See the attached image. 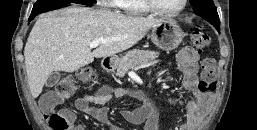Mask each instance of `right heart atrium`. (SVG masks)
Returning a JSON list of instances; mask_svg holds the SVG:
<instances>
[{"mask_svg":"<svg viewBox=\"0 0 257 130\" xmlns=\"http://www.w3.org/2000/svg\"><path fill=\"white\" fill-rule=\"evenodd\" d=\"M100 5L106 6V7H113L115 6V0H98Z\"/></svg>","mask_w":257,"mask_h":130,"instance_id":"d8ad5b80","label":"right heart atrium"}]
</instances>
